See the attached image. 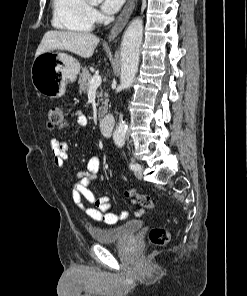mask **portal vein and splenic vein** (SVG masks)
<instances>
[{
  "label": "portal vein and splenic vein",
  "mask_w": 247,
  "mask_h": 296,
  "mask_svg": "<svg viewBox=\"0 0 247 296\" xmlns=\"http://www.w3.org/2000/svg\"><path fill=\"white\" fill-rule=\"evenodd\" d=\"M102 79L98 73H95L90 80V88L89 89H97L101 85Z\"/></svg>",
  "instance_id": "obj_1"
}]
</instances>
